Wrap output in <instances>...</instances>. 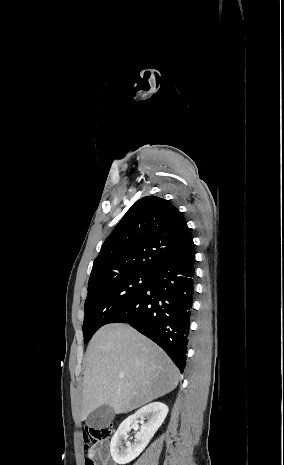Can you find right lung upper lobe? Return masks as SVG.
Listing matches in <instances>:
<instances>
[{
	"label": "right lung upper lobe",
	"mask_w": 284,
	"mask_h": 465,
	"mask_svg": "<svg viewBox=\"0 0 284 465\" xmlns=\"http://www.w3.org/2000/svg\"><path fill=\"white\" fill-rule=\"evenodd\" d=\"M191 243L190 229L175 206L156 196L143 197L105 240L88 288L127 274L152 275Z\"/></svg>",
	"instance_id": "cb5924a9"
}]
</instances>
